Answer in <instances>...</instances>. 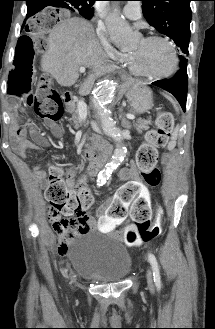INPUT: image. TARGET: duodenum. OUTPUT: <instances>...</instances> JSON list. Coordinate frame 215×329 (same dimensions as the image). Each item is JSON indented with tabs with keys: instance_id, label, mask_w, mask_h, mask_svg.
<instances>
[{
	"instance_id": "1",
	"label": "duodenum",
	"mask_w": 215,
	"mask_h": 329,
	"mask_svg": "<svg viewBox=\"0 0 215 329\" xmlns=\"http://www.w3.org/2000/svg\"><path fill=\"white\" fill-rule=\"evenodd\" d=\"M74 95L71 92H65L62 95L66 106H71ZM110 154V147L106 141L98 140L94 146L88 147L84 155L91 163L92 168L98 169L107 163Z\"/></svg>"
}]
</instances>
